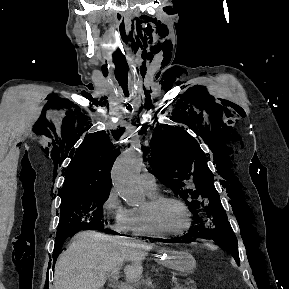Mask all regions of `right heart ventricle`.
<instances>
[{"label": "right heart ventricle", "instance_id": "e07e8e85", "mask_svg": "<svg viewBox=\"0 0 289 289\" xmlns=\"http://www.w3.org/2000/svg\"><path fill=\"white\" fill-rule=\"evenodd\" d=\"M149 197L156 196L157 194H149ZM131 215V232L136 236H147V237H159L150 232L148 229L145 220L142 216L141 209L133 208L130 209Z\"/></svg>", "mask_w": 289, "mask_h": 289}]
</instances>
